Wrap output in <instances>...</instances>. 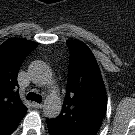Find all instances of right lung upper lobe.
<instances>
[{
    "instance_id": "right-lung-upper-lobe-1",
    "label": "right lung upper lobe",
    "mask_w": 135,
    "mask_h": 135,
    "mask_svg": "<svg viewBox=\"0 0 135 135\" xmlns=\"http://www.w3.org/2000/svg\"><path fill=\"white\" fill-rule=\"evenodd\" d=\"M38 45L12 38L0 45V135H10L27 112L17 90V76L25 57Z\"/></svg>"
}]
</instances>
